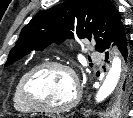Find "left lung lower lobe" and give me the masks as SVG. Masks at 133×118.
I'll return each instance as SVG.
<instances>
[{
	"label": "left lung lower lobe",
	"instance_id": "left-lung-lower-lobe-1",
	"mask_svg": "<svg viewBox=\"0 0 133 118\" xmlns=\"http://www.w3.org/2000/svg\"><path fill=\"white\" fill-rule=\"evenodd\" d=\"M111 41H113L114 44L118 46L125 60V73L119 88L121 90L127 88L131 90L133 83V51L130 42L127 40L126 33L122 24L119 25L113 32L108 44L101 52H105L109 48ZM105 56L106 58H108V52H105Z\"/></svg>",
	"mask_w": 133,
	"mask_h": 118
}]
</instances>
